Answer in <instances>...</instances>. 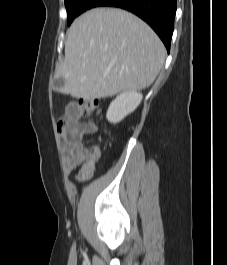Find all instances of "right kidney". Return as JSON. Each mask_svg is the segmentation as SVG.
Returning a JSON list of instances; mask_svg holds the SVG:
<instances>
[{"label":"right kidney","mask_w":227,"mask_h":265,"mask_svg":"<svg viewBox=\"0 0 227 265\" xmlns=\"http://www.w3.org/2000/svg\"><path fill=\"white\" fill-rule=\"evenodd\" d=\"M142 94L137 91H126L113 100L107 111V120L111 123L122 121L141 103Z\"/></svg>","instance_id":"ca27d5eb"}]
</instances>
